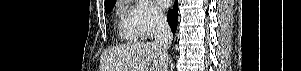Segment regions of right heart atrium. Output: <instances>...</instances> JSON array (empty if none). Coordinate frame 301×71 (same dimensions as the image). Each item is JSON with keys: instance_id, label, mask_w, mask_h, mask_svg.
Returning <instances> with one entry per match:
<instances>
[{"instance_id": "d8ad5b80", "label": "right heart atrium", "mask_w": 301, "mask_h": 71, "mask_svg": "<svg viewBox=\"0 0 301 71\" xmlns=\"http://www.w3.org/2000/svg\"><path fill=\"white\" fill-rule=\"evenodd\" d=\"M129 17L137 35L144 39L150 38L165 22L164 14L149 0L134 1Z\"/></svg>"}]
</instances>
